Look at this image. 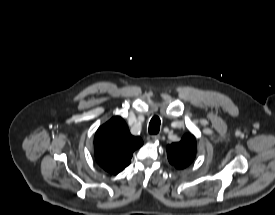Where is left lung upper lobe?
Instances as JSON below:
<instances>
[{"mask_svg":"<svg viewBox=\"0 0 275 215\" xmlns=\"http://www.w3.org/2000/svg\"><path fill=\"white\" fill-rule=\"evenodd\" d=\"M196 140L193 135L186 134L178 143L167 146L169 162L177 169H183L191 164L196 156Z\"/></svg>","mask_w":275,"mask_h":215,"instance_id":"1","label":"left lung upper lobe"}]
</instances>
